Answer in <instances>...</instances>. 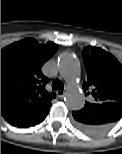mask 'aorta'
Here are the masks:
<instances>
[{
  "label": "aorta",
  "instance_id": "762f6f07",
  "mask_svg": "<svg viewBox=\"0 0 122 154\" xmlns=\"http://www.w3.org/2000/svg\"><path fill=\"white\" fill-rule=\"evenodd\" d=\"M58 71L68 84V91L65 96V103L71 110L83 108L85 97L78 87L80 76V63L78 59L70 54L60 55L57 63Z\"/></svg>",
  "mask_w": 122,
  "mask_h": 154
}]
</instances>
